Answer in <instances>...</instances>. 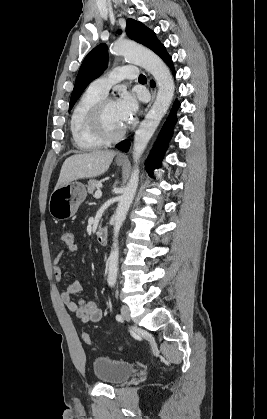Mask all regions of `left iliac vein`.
I'll use <instances>...</instances> for the list:
<instances>
[{
  "mask_svg": "<svg viewBox=\"0 0 267 419\" xmlns=\"http://www.w3.org/2000/svg\"><path fill=\"white\" fill-rule=\"evenodd\" d=\"M121 314H122V316H123V318H124L125 320H127V321H130V320H131V317H130V310H129V308H128V307L123 306V307H122V309H121Z\"/></svg>",
  "mask_w": 267,
  "mask_h": 419,
  "instance_id": "4c4485c4",
  "label": "left iliac vein"
}]
</instances>
